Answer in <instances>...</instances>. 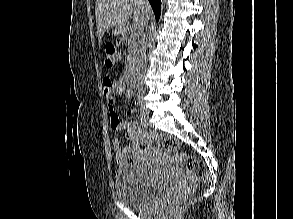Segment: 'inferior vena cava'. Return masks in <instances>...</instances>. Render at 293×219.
Wrapping results in <instances>:
<instances>
[{"label":"inferior vena cava","instance_id":"1","mask_svg":"<svg viewBox=\"0 0 293 219\" xmlns=\"http://www.w3.org/2000/svg\"><path fill=\"white\" fill-rule=\"evenodd\" d=\"M146 5L149 6L148 1H145ZM147 70V57H146V41L143 42L142 46H141V50H140V62H139V66L137 69V77L138 78H142L144 73Z\"/></svg>","mask_w":293,"mask_h":219}]
</instances>
